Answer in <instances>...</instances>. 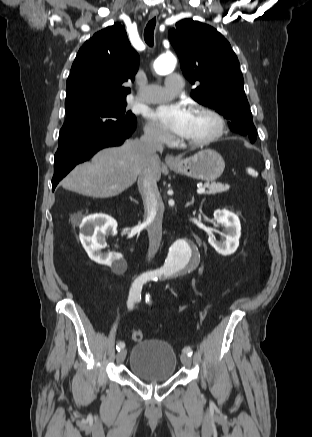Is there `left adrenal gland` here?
<instances>
[{
  "instance_id": "obj_1",
  "label": "left adrenal gland",
  "mask_w": 312,
  "mask_h": 437,
  "mask_svg": "<svg viewBox=\"0 0 312 437\" xmlns=\"http://www.w3.org/2000/svg\"><path fill=\"white\" fill-rule=\"evenodd\" d=\"M193 203H194V200H193V198H192V200L186 204V207L192 205Z\"/></svg>"
}]
</instances>
